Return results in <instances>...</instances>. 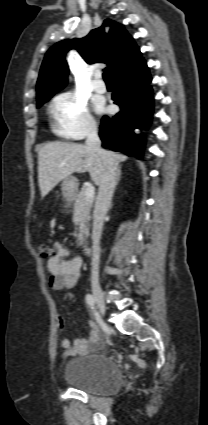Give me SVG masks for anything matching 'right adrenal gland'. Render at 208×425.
<instances>
[{
    "label": "right adrenal gland",
    "mask_w": 208,
    "mask_h": 425,
    "mask_svg": "<svg viewBox=\"0 0 208 425\" xmlns=\"http://www.w3.org/2000/svg\"><path fill=\"white\" fill-rule=\"evenodd\" d=\"M121 177V167L117 169L116 185H118Z\"/></svg>",
    "instance_id": "right-adrenal-gland-1"
}]
</instances>
